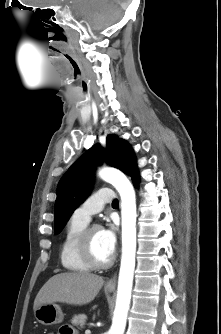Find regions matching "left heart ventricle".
Instances as JSON below:
<instances>
[{"mask_svg":"<svg viewBox=\"0 0 221 334\" xmlns=\"http://www.w3.org/2000/svg\"><path fill=\"white\" fill-rule=\"evenodd\" d=\"M92 248H93V252H94L95 256L100 261L108 260L113 253L106 246V244L103 240V235H102V230L101 229H96L92 233Z\"/></svg>","mask_w":221,"mask_h":334,"instance_id":"left-heart-ventricle-1","label":"left heart ventricle"}]
</instances>
